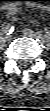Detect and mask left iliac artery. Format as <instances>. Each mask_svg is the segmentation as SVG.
<instances>
[{"label": "left iliac artery", "mask_w": 50, "mask_h": 111, "mask_svg": "<svg viewBox=\"0 0 50 111\" xmlns=\"http://www.w3.org/2000/svg\"><path fill=\"white\" fill-rule=\"evenodd\" d=\"M37 36H38V40L44 41V36L40 32H37Z\"/></svg>", "instance_id": "44dca946"}]
</instances>
